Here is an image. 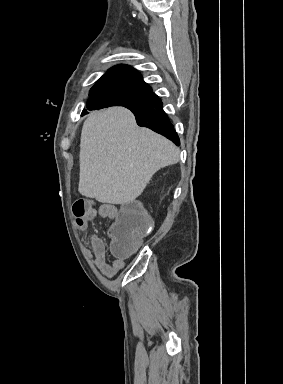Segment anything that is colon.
I'll return each instance as SVG.
<instances>
[{"label": "colon", "mask_w": 283, "mask_h": 384, "mask_svg": "<svg viewBox=\"0 0 283 384\" xmlns=\"http://www.w3.org/2000/svg\"><path fill=\"white\" fill-rule=\"evenodd\" d=\"M90 208L88 200L77 199L72 207L76 222L83 218ZM151 229V219L143 206L138 202L127 203L121 208L109 229L112 254L121 258L129 256L140 244L141 237Z\"/></svg>", "instance_id": "obj_1"}]
</instances>
